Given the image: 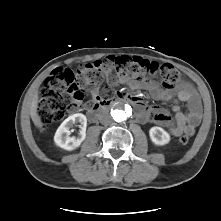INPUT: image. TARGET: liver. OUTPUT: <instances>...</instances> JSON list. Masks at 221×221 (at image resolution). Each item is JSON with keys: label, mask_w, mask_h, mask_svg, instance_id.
I'll return each mask as SVG.
<instances>
[{"label": "liver", "mask_w": 221, "mask_h": 221, "mask_svg": "<svg viewBox=\"0 0 221 221\" xmlns=\"http://www.w3.org/2000/svg\"><path fill=\"white\" fill-rule=\"evenodd\" d=\"M37 107H38V95L36 93L33 97L32 102H31L30 116H31V119H32L34 125L40 129H42L43 123L41 122V118L37 113Z\"/></svg>", "instance_id": "obj_1"}]
</instances>
